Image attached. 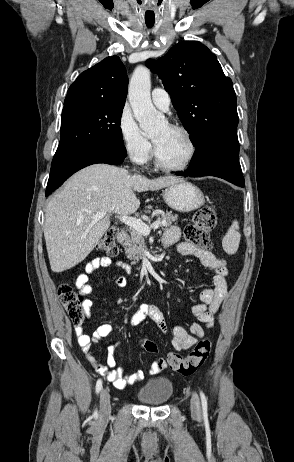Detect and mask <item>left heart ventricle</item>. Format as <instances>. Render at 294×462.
Wrapping results in <instances>:
<instances>
[{
	"label": "left heart ventricle",
	"instance_id": "1",
	"mask_svg": "<svg viewBox=\"0 0 294 462\" xmlns=\"http://www.w3.org/2000/svg\"><path fill=\"white\" fill-rule=\"evenodd\" d=\"M161 161L167 165H179L189 154V144L185 135L171 129L167 124L161 125L152 134Z\"/></svg>",
	"mask_w": 294,
	"mask_h": 462
}]
</instances>
